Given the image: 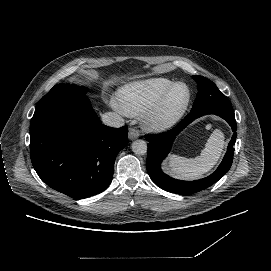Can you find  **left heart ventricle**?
<instances>
[{
	"label": "left heart ventricle",
	"mask_w": 271,
	"mask_h": 271,
	"mask_svg": "<svg viewBox=\"0 0 271 271\" xmlns=\"http://www.w3.org/2000/svg\"><path fill=\"white\" fill-rule=\"evenodd\" d=\"M188 97V88L185 85L178 86L169 101L168 111H173L179 108Z\"/></svg>",
	"instance_id": "1"
}]
</instances>
